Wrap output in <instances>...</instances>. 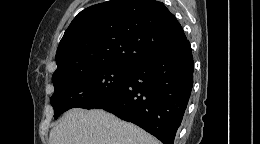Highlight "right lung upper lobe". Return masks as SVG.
I'll list each match as a JSON object with an SVG mask.
<instances>
[{
  "label": "right lung upper lobe",
  "mask_w": 260,
  "mask_h": 144,
  "mask_svg": "<svg viewBox=\"0 0 260 144\" xmlns=\"http://www.w3.org/2000/svg\"><path fill=\"white\" fill-rule=\"evenodd\" d=\"M186 40L183 28L162 2L96 4L81 11L65 31L53 76L105 64L131 67Z\"/></svg>",
  "instance_id": "right-lung-upper-lobe-1"
}]
</instances>
